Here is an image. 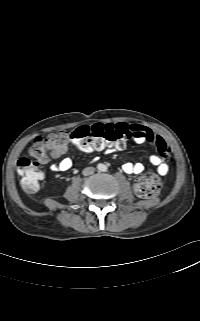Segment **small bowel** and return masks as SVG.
<instances>
[{
	"instance_id": "c3829d8e",
	"label": "small bowel",
	"mask_w": 200,
	"mask_h": 321,
	"mask_svg": "<svg viewBox=\"0 0 200 321\" xmlns=\"http://www.w3.org/2000/svg\"><path fill=\"white\" fill-rule=\"evenodd\" d=\"M107 125H111L113 127L124 126L131 132V138L135 143H150L156 146L157 152L150 156V162L156 167V172L159 175L164 176L168 173L169 167L167 160L170 150L163 137L155 133L150 128L140 124L117 123ZM108 147L116 148L113 145H108ZM65 150L66 146L59 153L53 155V157L58 158L62 156ZM71 167L72 160L70 158H63L58 163H52L50 166L51 170L54 172H66L70 170ZM122 169L127 174H140L144 171L145 167L141 162H126L122 165Z\"/></svg>"
}]
</instances>
